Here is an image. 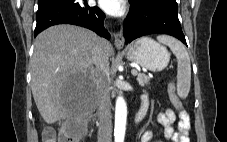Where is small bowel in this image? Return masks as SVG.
Segmentation results:
<instances>
[{
    "mask_svg": "<svg viewBox=\"0 0 227 142\" xmlns=\"http://www.w3.org/2000/svg\"><path fill=\"white\" fill-rule=\"evenodd\" d=\"M148 106V96L143 97V102ZM178 110V130L176 131L173 124L176 120V114L172 109H167L165 112L157 114L156 120L164 126V137L172 142H189V130L191 128L190 117L188 113L182 108ZM152 133L146 131L142 134L139 142H150L152 140ZM163 142V141H156Z\"/></svg>",
    "mask_w": 227,
    "mask_h": 142,
    "instance_id": "obj_1",
    "label": "small bowel"
}]
</instances>
